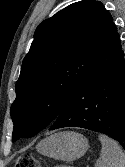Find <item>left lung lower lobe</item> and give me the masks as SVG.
I'll return each instance as SVG.
<instances>
[{
	"instance_id": "left-lung-lower-lobe-1",
	"label": "left lung lower lobe",
	"mask_w": 125,
	"mask_h": 167,
	"mask_svg": "<svg viewBox=\"0 0 125 167\" xmlns=\"http://www.w3.org/2000/svg\"><path fill=\"white\" fill-rule=\"evenodd\" d=\"M63 127L101 132L125 147V61L114 23L101 41L87 76L49 130Z\"/></svg>"
}]
</instances>
